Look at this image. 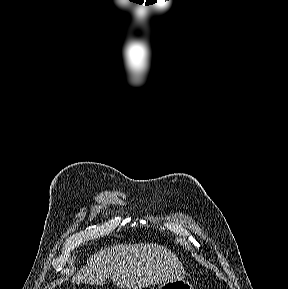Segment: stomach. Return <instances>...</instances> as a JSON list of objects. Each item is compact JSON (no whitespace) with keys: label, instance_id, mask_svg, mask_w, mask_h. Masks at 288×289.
<instances>
[{"label":"stomach","instance_id":"stomach-1","mask_svg":"<svg viewBox=\"0 0 288 289\" xmlns=\"http://www.w3.org/2000/svg\"><path fill=\"white\" fill-rule=\"evenodd\" d=\"M146 289H154L150 286ZM159 289H193L192 285L184 279L169 280L161 283Z\"/></svg>","mask_w":288,"mask_h":289}]
</instances>
